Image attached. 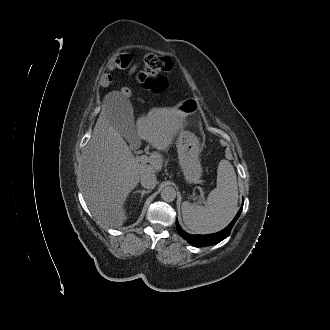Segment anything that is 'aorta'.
I'll return each instance as SVG.
<instances>
[{
  "mask_svg": "<svg viewBox=\"0 0 330 330\" xmlns=\"http://www.w3.org/2000/svg\"><path fill=\"white\" fill-rule=\"evenodd\" d=\"M161 198L166 202H172L176 198V190L172 186H166L161 191Z\"/></svg>",
  "mask_w": 330,
  "mask_h": 330,
  "instance_id": "obj_1",
  "label": "aorta"
}]
</instances>
